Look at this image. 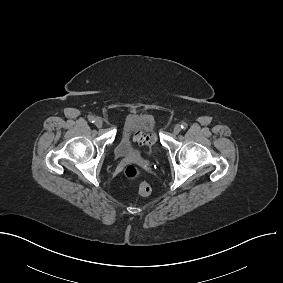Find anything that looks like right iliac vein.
I'll list each match as a JSON object with an SVG mask.
<instances>
[{
    "mask_svg": "<svg viewBox=\"0 0 283 283\" xmlns=\"http://www.w3.org/2000/svg\"><path fill=\"white\" fill-rule=\"evenodd\" d=\"M95 125H96L98 128L102 127V125H103L102 119L99 118V117H97V118L95 119Z\"/></svg>",
    "mask_w": 283,
    "mask_h": 283,
    "instance_id": "right-iliac-vein-1",
    "label": "right iliac vein"
}]
</instances>
